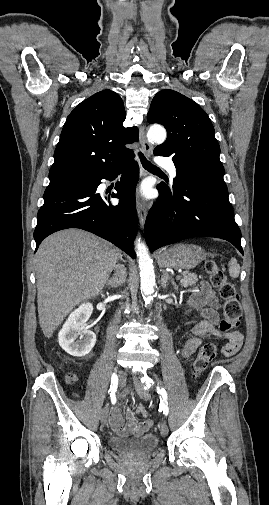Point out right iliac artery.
Returning a JSON list of instances; mask_svg holds the SVG:
<instances>
[{"label":"right iliac artery","instance_id":"1","mask_svg":"<svg viewBox=\"0 0 269 505\" xmlns=\"http://www.w3.org/2000/svg\"><path fill=\"white\" fill-rule=\"evenodd\" d=\"M117 386H118L117 375L115 373H113L112 378H111V386L109 389L110 397L113 398L115 396V393L117 391Z\"/></svg>","mask_w":269,"mask_h":505}]
</instances>
